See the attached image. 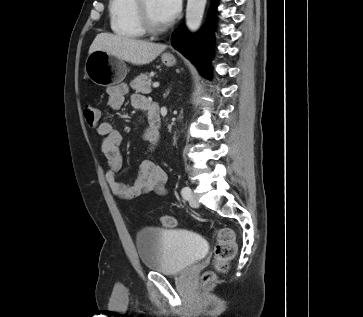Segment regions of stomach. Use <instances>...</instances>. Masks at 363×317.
Listing matches in <instances>:
<instances>
[{
    "label": "stomach",
    "mask_w": 363,
    "mask_h": 317,
    "mask_svg": "<svg viewBox=\"0 0 363 317\" xmlns=\"http://www.w3.org/2000/svg\"><path fill=\"white\" fill-rule=\"evenodd\" d=\"M162 63L167 67L175 65L176 60L171 54H163ZM87 77L99 86L115 85L124 80L127 74L125 62L106 51L97 50L90 53L85 61Z\"/></svg>",
    "instance_id": "1"
}]
</instances>
